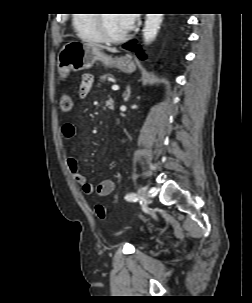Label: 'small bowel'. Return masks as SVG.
I'll return each instance as SVG.
<instances>
[{
    "label": "small bowel",
    "mask_w": 252,
    "mask_h": 303,
    "mask_svg": "<svg viewBox=\"0 0 252 303\" xmlns=\"http://www.w3.org/2000/svg\"><path fill=\"white\" fill-rule=\"evenodd\" d=\"M94 84V76L91 73H84L81 77L80 87H79V97L84 99L89 94L92 86ZM62 136L66 140H71L76 135V126L74 123L68 121L62 125ZM66 165L72 176L74 182L79 184L82 191L87 196H98L105 197L110 195L115 189V182L112 179H105L94 186L92 183L88 182L86 177L81 173L80 167L76 158L72 153H68L66 157Z\"/></svg>",
    "instance_id": "1"
}]
</instances>
